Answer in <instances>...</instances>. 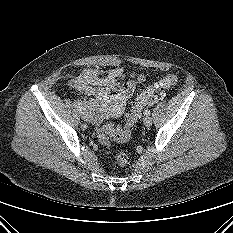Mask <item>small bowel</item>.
Instances as JSON below:
<instances>
[{
  "label": "small bowel",
  "instance_id": "1",
  "mask_svg": "<svg viewBox=\"0 0 233 233\" xmlns=\"http://www.w3.org/2000/svg\"><path fill=\"white\" fill-rule=\"evenodd\" d=\"M145 79L142 74H127L116 67L101 75L96 69H88L72 78L69 85L75 91L99 101L113 115H119L136 86Z\"/></svg>",
  "mask_w": 233,
  "mask_h": 233
}]
</instances>
